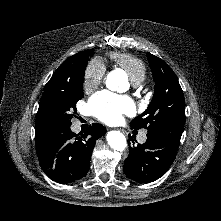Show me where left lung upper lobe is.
<instances>
[{"mask_svg":"<svg viewBox=\"0 0 221 221\" xmlns=\"http://www.w3.org/2000/svg\"><path fill=\"white\" fill-rule=\"evenodd\" d=\"M155 89L148 108L131 121L133 129L146 128L182 131L185 124V99L178 79L172 69L160 58L147 54Z\"/></svg>","mask_w":221,"mask_h":221,"instance_id":"left-lung-upper-lobe-1","label":"left lung upper lobe"}]
</instances>
